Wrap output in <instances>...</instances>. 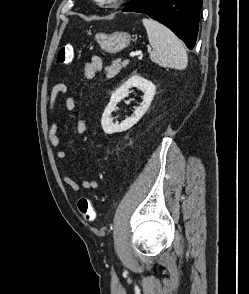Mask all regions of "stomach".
Instances as JSON below:
<instances>
[{
  "label": "stomach",
  "mask_w": 249,
  "mask_h": 294,
  "mask_svg": "<svg viewBox=\"0 0 249 294\" xmlns=\"http://www.w3.org/2000/svg\"><path fill=\"white\" fill-rule=\"evenodd\" d=\"M96 40L104 51L117 53L130 44L131 36L129 33L121 31H116L112 34L98 33Z\"/></svg>",
  "instance_id": "0dacf381"
}]
</instances>
